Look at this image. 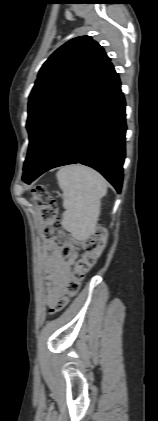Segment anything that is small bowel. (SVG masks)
Returning a JSON list of instances; mask_svg holds the SVG:
<instances>
[{
  "label": "small bowel",
  "instance_id": "c3829d8e",
  "mask_svg": "<svg viewBox=\"0 0 158 421\" xmlns=\"http://www.w3.org/2000/svg\"><path fill=\"white\" fill-rule=\"evenodd\" d=\"M73 260L64 259L59 248L51 241L45 243L44 270L47 287V304L55 307L65 296L66 283L71 275Z\"/></svg>",
  "mask_w": 158,
  "mask_h": 421
}]
</instances>
